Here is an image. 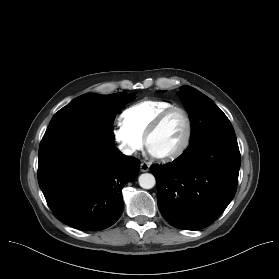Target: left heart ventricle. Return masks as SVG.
Listing matches in <instances>:
<instances>
[{
  "label": "left heart ventricle",
  "instance_id": "left-heart-ventricle-1",
  "mask_svg": "<svg viewBox=\"0 0 279 279\" xmlns=\"http://www.w3.org/2000/svg\"><path fill=\"white\" fill-rule=\"evenodd\" d=\"M186 133V121L181 112L174 111L163 121L149 141L154 154H165L176 149Z\"/></svg>",
  "mask_w": 279,
  "mask_h": 279
}]
</instances>
